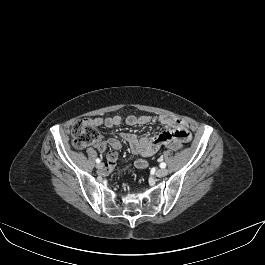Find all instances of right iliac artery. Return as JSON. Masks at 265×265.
Returning <instances> with one entry per match:
<instances>
[{"mask_svg": "<svg viewBox=\"0 0 265 265\" xmlns=\"http://www.w3.org/2000/svg\"><path fill=\"white\" fill-rule=\"evenodd\" d=\"M101 160L99 158L96 159V163H100Z\"/></svg>", "mask_w": 265, "mask_h": 265, "instance_id": "obj_1", "label": "right iliac artery"}]
</instances>
